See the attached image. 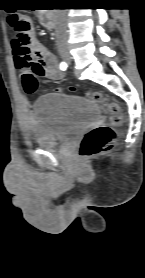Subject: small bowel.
Returning a JSON list of instances; mask_svg holds the SVG:
<instances>
[{
	"mask_svg": "<svg viewBox=\"0 0 145 278\" xmlns=\"http://www.w3.org/2000/svg\"><path fill=\"white\" fill-rule=\"evenodd\" d=\"M22 18L28 20L26 16H22ZM12 54L25 92L34 73L48 81H54L62 76V70L56 57L36 40L32 41L29 48H25L19 42L17 36L14 35L12 39Z\"/></svg>",
	"mask_w": 145,
	"mask_h": 278,
	"instance_id": "obj_1",
	"label": "small bowel"
}]
</instances>
